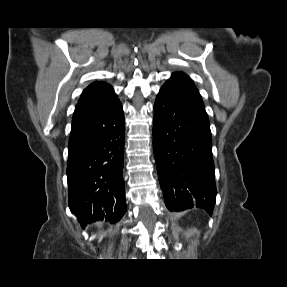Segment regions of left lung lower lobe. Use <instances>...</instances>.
I'll return each mask as SVG.
<instances>
[{
	"mask_svg": "<svg viewBox=\"0 0 287 287\" xmlns=\"http://www.w3.org/2000/svg\"><path fill=\"white\" fill-rule=\"evenodd\" d=\"M153 149L167 208L196 206L212 214L216 186L209 119L166 84L154 104Z\"/></svg>",
	"mask_w": 287,
	"mask_h": 287,
	"instance_id": "obj_1",
	"label": "left lung lower lobe"
}]
</instances>
